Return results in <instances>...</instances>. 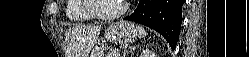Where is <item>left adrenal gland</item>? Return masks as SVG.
Instances as JSON below:
<instances>
[{
  "label": "left adrenal gland",
  "instance_id": "left-adrenal-gland-1",
  "mask_svg": "<svg viewBox=\"0 0 249 57\" xmlns=\"http://www.w3.org/2000/svg\"><path fill=\"white\" fill-rule=\"evenodd\" d=\"M135 49H136V46H135V47H132L129 51H126L125 55L128 54L129 52L134 51ZM125 55H124V56H125Z\"/></svg>",
  "mask_w": 249,
  "mask_h": 57
}]
</instances>
